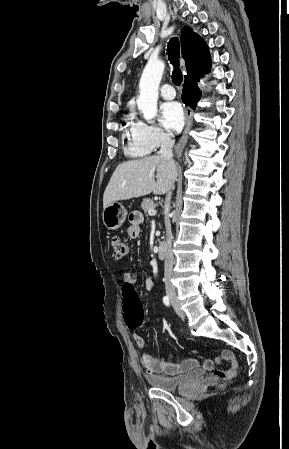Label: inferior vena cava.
Instances as JSON below:
<instances>
[{"label": "inferior vena cava", "mask_w": 289, "mask_h": 449, "mask_svg": "<svg viewBox=\"0 0 289 449\" xmlns=\"http://www.w3.org/2000/svg\"><path fill=\"white\" fill-rule=\"evenodd\" d=\"M174 145V139L171 138L170 135H166L162 141L161 149L158 152V155L165 158L170 164H174L173 161V151L172 147ZM172 192L169 191L166 195L165 205H170ZM165 226H166V242H167V252L164 262V282L166 292H175V288L171 282L172 269L174 264V256L172 252V231H171V223L168 217L165 218Z\"/></svg>", "instance_id": "inferior-vena-cava-1"}]
</instances>
